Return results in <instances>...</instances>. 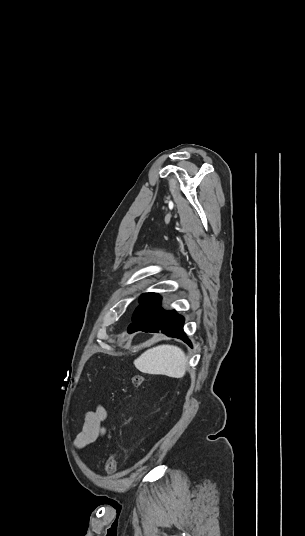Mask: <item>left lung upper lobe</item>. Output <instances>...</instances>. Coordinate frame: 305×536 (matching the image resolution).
<instances>
[{
    "mask_svg": "<svg viewBox=\"0 0 305 536\" xmlns=\"http://www.w3.org/2000/svg\"><path fill=\"white\" fill-rule=\"evenodd\" d=\"M153 295H154V293H145V294H142L141 297H140V299H139L140 304H141L142 302H144L145 300H147L148 298H150L151 296H153Z\"/></svg>",
    "mask_w": 305,
    "mask_h": 536,
    "instance_id": "1",
    "label": "left lung upper lobe"
}]
</instances>
